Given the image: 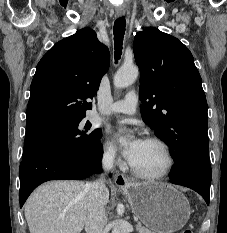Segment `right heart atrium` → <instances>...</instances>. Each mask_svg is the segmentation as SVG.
<instances>
[{
    "label": "right heart atrium",
    "instance_id": "d8ad5b80",
    "mask_svg": "<svg viewBox=\"0 0 227 233\" xmlns=\"http://www.w3.org/2000/svg\"><path fill=\"white\" fill-rule=\"evenodd\" d=\"M101 160L104 165L112 167L118 163L116 150L109 142L104 143L101 153Z\"/></svg>",
    "mask_w": 227,
    "mask_h": 233
}]
</instances>
